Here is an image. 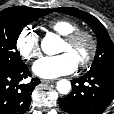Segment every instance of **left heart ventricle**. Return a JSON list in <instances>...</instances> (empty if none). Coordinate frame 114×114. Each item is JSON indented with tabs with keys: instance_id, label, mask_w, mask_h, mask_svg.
I'll return each mask as SVG.
<instances>
[{
	"instance_id": "left-heart-ventricle-1",
	"label": "left heart ventricle",
	"mask_w": 114,
	"mask_h": 114,
	"mask_svg": "<svg viewBox=\"0 0 114 114\" xmlns=\"http://www.w3.org/2000/svg\"><path fill=\"white\" fill-rule=\"evenodd\" d=\"M89 50V45L85 40L80 41L75 47H69L64 41L61 44V48L59 52H68L73 58L77 61V63L86 56Z\"/></svg>"
}]
</instances>
